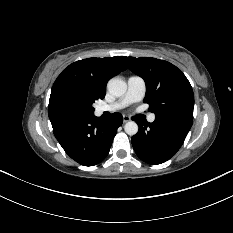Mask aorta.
I'll list each match as a JSON object with an SVG mask.
<instances>
[{"label": "aorta", "instance_id": "obj_1", "mask_svg": "<svg viewBox=\"0 0 233 233\" xmlns=\"http://www.w3.org/2000/svg\"><path fill=\"white\" fill-rule=\"evenodd\" d=\"M107 89L110 92V94L116 97H120L126 93L127 84L124 80L120 78H112L107 83ZM138 129V125L134 121H129L124 126L125 132L130 136L137 134Z\"/></svg>", "mask_w": 233, "mask_h": 233}]
</instances>
